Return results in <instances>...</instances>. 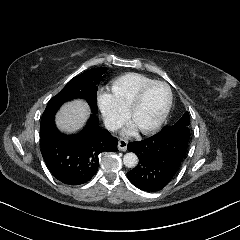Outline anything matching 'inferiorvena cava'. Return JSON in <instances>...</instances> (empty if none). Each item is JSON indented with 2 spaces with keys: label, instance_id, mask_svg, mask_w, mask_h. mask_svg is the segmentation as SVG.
Returning a JSON list of instances; mask_svg holds the SVG:
<instances>
[{
  "label": "inferior vena cava",
  "instance_id": "obj_1",
  "mask_svg": "<svg viewBox=\"0 0 240 240\" xmlns=\"http://www.w3.org/2000/svg\"><path fill=\"white\" fill-rule=\"evenodd\" d=\"M105 127L110 131H116L121 128V123L112 119V118H106L104 119Z\"/></svg>",
  "mask_w": 240,
  "mask_h": 240
}]
</instances>
